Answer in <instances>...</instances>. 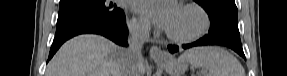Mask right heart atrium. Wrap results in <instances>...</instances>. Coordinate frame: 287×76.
<instances>
[{"instance_id":"1","label":"right heart atrium","mask_w":287,"mask_h":76,"mask_svg":"<svg viewBox=\"0 0 287 76\" xmlns=\"http://www.w3.org/2000/svg\"><path fill=\"white\" fill-rule=\"evenodd\" d=\"M131 30L138 35H145L149 31V23L139 17H132L130 20Z\"/></svg>"}]
</instances>
